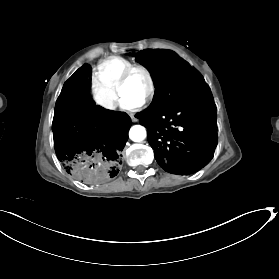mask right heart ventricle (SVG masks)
Returning <instances> with one entry per match:
<instances>
[{"label": "right heart ventricle", "instance_id": "right-heart-ventricle-1", "mask_svg": "<svg viewBox=\"0 0 279 279\" xmlns=\"http://www.w3.org/2000/svg\"><path fill=\"white\" fill-rule=\"evenodd\" d=\"M132 64V61L120 56L107 57L93 68L92 82L101 84L117 94L118 79L123 70Z\"/></svg>", "mask_w": 279, "mask_h": 279}]
</instances>
